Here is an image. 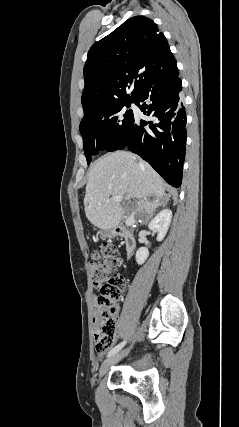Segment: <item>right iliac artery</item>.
<instances>
[{
  "mask_svg": "<svg viewBox=\"0 0 239 427\" xmlns=\"http://www.w3.org/2000/svg\"><path fill=\"white\" fill-rule=\"evenodd\" d=\"M126 341L124 340L123 342H121L120 344H118L117 346H115L107 355V357H111L113 355H115L117 352H119L123 346L125 345Z\"/></svg>",
  "mask_w": 239,
  "mask_h": 427,
  "instance_id": "right-iliac-artery-1",
  "label": "right iliac artery"
}]
</instances>
